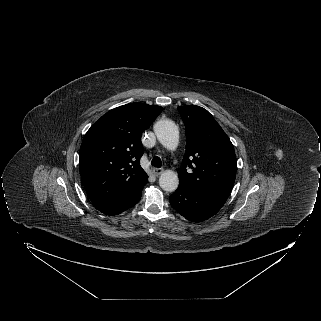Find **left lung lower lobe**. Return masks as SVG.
Masks as SVG:
<instances>
[{
  "label": "left lung lower lobe",
  "mask_w": 321,
  "mask_h": 321,
  "mask_svg": "<svg viewBox=\"0 0 321 321\" xmlns=\"http://www.w3.org/2000/svg\"><path fill=\"white\" fill-rule=\"evenodd\" d=\"M228 197L179 186L170 196L171 206L187 220L202 222L215 215Z\"/></svg>",
  "instance_id": "obj_1"
}]
</instances>
